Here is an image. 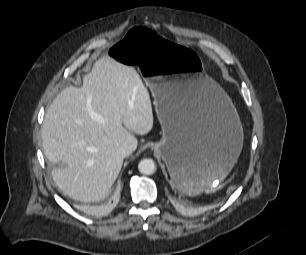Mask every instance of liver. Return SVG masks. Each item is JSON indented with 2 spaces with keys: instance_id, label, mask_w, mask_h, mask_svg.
Wrapping results in <instances>:
<instances>
[{
  "instance_id": "6515ba94",
  "label": "liver",
  "mask_w": 306,
  "mask_h": 255,
  "mask_svg": "<svg viewBox=\"0 0 306 255\" xmlns=\"http://www.w3.org/2000/svg\"><path fill=\"white\" fill-rule=\"evenodd\" d=\"M153 122L150 95L136 70L110 56L99 59L83 86L62 90L45 115L41 137L46 158L58 165L54 182L76 201L102 200L122 168L118 149H136L131 132L146 135Z\"/></svg>"
}]
</instances>
